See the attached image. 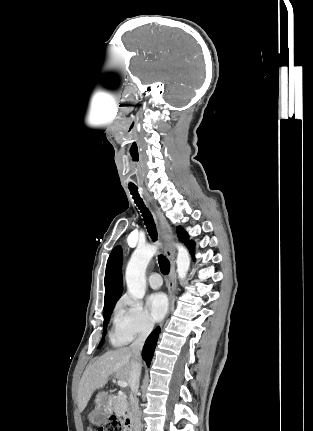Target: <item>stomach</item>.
I'll list each match as a JSON object with an SVG mask.
<instances>
[{
  "label": "stomach",
  "mask_w": 313,
  "mask_h": 431,
  "mask_svg": "<svg viewBox=\"0 0 313 431\" xmlns=\"http://www.w3.org/2000/svg\"><path fill=\"white\" fill-rule=\"evenodd\" d=\"M111 404V397L105 393H98L95 399V409L90 413L89 418L93 424L100 425L106 422Z\"/></svg>",
  "instance_id": "obj_1"
}]
</instances>
